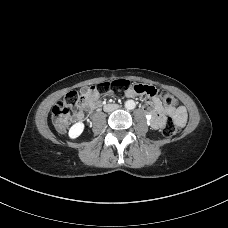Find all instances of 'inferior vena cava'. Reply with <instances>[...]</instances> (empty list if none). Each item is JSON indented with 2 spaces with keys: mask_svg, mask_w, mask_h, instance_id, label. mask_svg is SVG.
<instances>
[{
  "mask_svg": "<svg viewBox=\"0 0 228 228\" xmlns=\"http://www.w3.org/2000/svg\"><path fill=\"white\" fill-rule=\"evenodd\" d=\"M118 107L119 106L117 104H107L104 106L103 110L105 112H112V111L118 109Z\"/></svg>",
  "mask_w": 228,
  "mask_h": 228,
  "instance_id": "inferior-vena-cava-1",
  "label": "inferior vena cava"
}]
</instances>
